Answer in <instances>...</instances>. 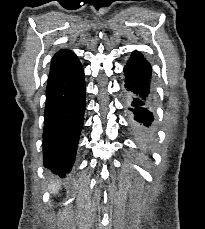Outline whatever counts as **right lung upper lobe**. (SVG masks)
<instances>
[{
	"mask_svg": "<svg viewBox=\"0 0 205 229\" xmlns=\"http://www.w3.org/2000/svg\"><path fill=\"white\" fill-rule=\"evenodd\" d=\"M60 53L65 54L68 57H71V60H77L76 55L69 50H61Z\"/></svg>",
	"mask_w": 205,
	"mask_h": 229,
	"instance_id": "obj_1",
	"label": "right lung upper lobe"
}]
</instances>
